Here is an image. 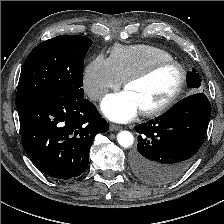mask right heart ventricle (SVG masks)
<instances>
[{
	"mask_svg": "<svg viewBox=\"0 0 224 224\" xmlns=\"http://www.w3.org/2000/svg\"><path fill=\"white\" fill-rule=\"evenodd\" d=\"M170 59L173 57L168 51L146 44L118 45L110 54L113 68L122 81L156 61Z\"/></svg>",
	"mask_w": 224,
	"mask_h": 224,
	"instance_id": "e07e8e85",
	"label": "right heart ventricle"
}]
</instances>
